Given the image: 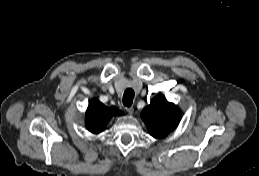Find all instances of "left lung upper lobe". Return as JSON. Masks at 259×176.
<instances>
[{
	"label": "left lung upper lobe",
	"instance_id": "left-lung-upper-lobe-1",
	"mask_svg": "<svg viewBox=\"0 0 259 176\" xmlns=\"http://www.w3.org/2000/svg\"><path fill=\"white\" fill-rule=\"evenodd\" d=\"M141 117L150 135L163 138L177 127L180 121V111L177 106L168 102L164 95L160 94L143 109Z\"/></svg>",
	"mask_w": 259,
	"mask_h": 176
}]
</instances>
